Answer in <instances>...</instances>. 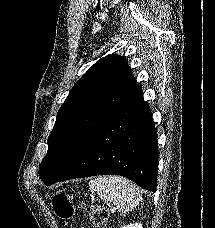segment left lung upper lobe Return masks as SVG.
<instances>
[{
  "label": "left lung upper lobe",
  "mask_w": 215,
  "mask_h": 228,
  "mask_svg": "<svg viewBox=\"0 0 215 228\" xmlns=\"http://www.w3.org/2000/svg\"><path fill=\"white\" fill-rule=\"evenodd\" d=\"M136 89L124 57L109 54L98 60L76 82L58 111L47 155L40 164L41 180L56 178Z\"/></svg>",
  "instance_id": "5c2ea615"
}]
</instances>
